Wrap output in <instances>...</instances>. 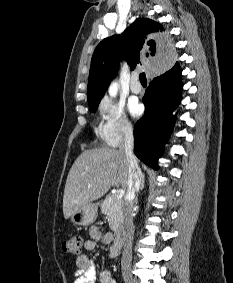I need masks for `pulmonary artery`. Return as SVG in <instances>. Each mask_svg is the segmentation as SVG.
Listing matches in <instances>:
<instances>
[{
  "instance_id": "e3ab8cb5",
  "label": "pulmonary artery",
  "mask_w": 233,
  "mask_h": 283,
  "mask_svg": "<svg viewBox=\"0 0 233 283\" xmlns=\"http://www.w3.org/2000/svg\"><path fill=\"white\" fill-rule=\"evenodd\" d=\"M130 90L134 94H139L142 91V86L139 83L138 74H133L130 83Z\"/></svg>"
}]
</instances>
